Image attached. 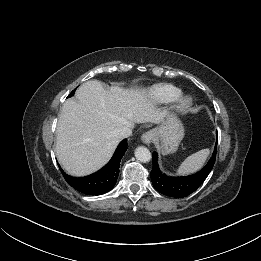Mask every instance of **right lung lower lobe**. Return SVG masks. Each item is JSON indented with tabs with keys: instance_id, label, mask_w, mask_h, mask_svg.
Segmentation results:
<instances>
[{
	"instance_id": "1",
	"label": "right lung lower lobe",
	"mask_w": 261,
	"mask_h": 261,
	"mask_svg": "<svg viewBox=\"0 0 261 261\" xmlns=\"http://www.w3.org/2000/svg\"><path fill=\"white\" fill-rule=\"evenodd\" d=\"M127 150V139L117 147L111 160L99 171L86 177H71L59 166L67 183L86 195H101L113 189L120 168V161Z\"/></svg>"
}]
</instances>
